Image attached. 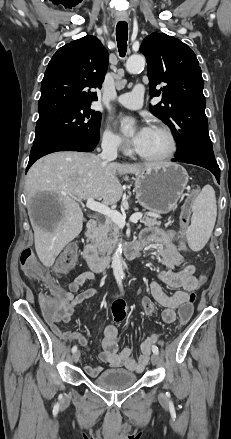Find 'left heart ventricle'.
I'll list each match as a JSON object with an SVG mask.
<instances>
[{
  "label": "left heart ventricle",
  "mask_w": 231,
  "mask_h": 439,
  "mask_svg": "<svg viewBox=\"0 0 231 439\" xmlns=\"http://www.w3.org/2000/svg\"><path fill=\"white\" fill-rule=\"evenodd\" d=\"M168 148L169 141L166 135L158 129L150 128L137 151L147 156H158L165 153Z\"/></svg>",
  "instance_id": "1"
}]
</instances>
